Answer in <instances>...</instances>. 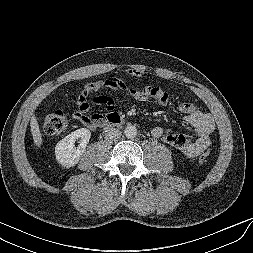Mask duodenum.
<instances>
[{
    "mask_svg": "<svg viewBox=\"0 0 253 253\" xmlns=\"http://www.w3.org/2000/svg\"><path fill=\"white\" fill-rule=\"evenodd\" d=\"M124 122V119L122 116L120 115H113L111 117H109V120L108 122L106 123V127L107 128H112V127H115L117 125H120Z\"/></svg>",
    "mask_w": 253,
    "mask_h": 253,
    "instance_id": "duodenum-1",
    "label": "duodenum"
}]
</instances>
